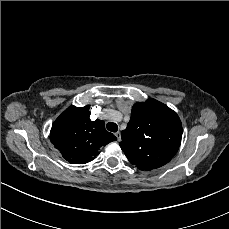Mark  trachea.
<instances>
[{"instance_id":"1","label":"trachea","mask_w":229,"mask_h":229,"mask_svg":"<svg viewBox=\"0 0 229 229\" xmlns=\"http://www.w3.org/2000/svg\"><path fill=\"white\" fill-rule=\"evenodd\" d=\"M107 129H108L109 131L115 133L116 131H118V125H117L116 123H114V122H109V123L107 124Z\"/></svg>"}]
</instances>
